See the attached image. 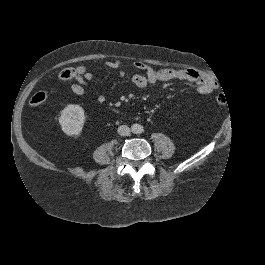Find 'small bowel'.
<instances>
[{
    "instance_id": "obj_1",
    "label": "small bowel",
    "mask_w": 265,
    "mask_h": 265,
    "mask_svg": "<svg viewBox=\"0 0 265 265\" xmlns=\"http://www.w3.org/2000/svg\"><path fill=\"white\" fill-rule=\"evenodd\" d=\"M105 66L108 69L118 70L119 77L122 78L125 76V64L121 60L107 61ZM131 66L141 71L140 73L133 74L131 78L132 83L138 88H144L159 81L172 80L195 83L197 85V91L200 94H210L218 87L214 79L194 69H153L142 62H132ZM77 68L78 73L73 77L74 83L71 84L70 90L77 96H83L86 94V88L93 79V74L84 66ZM96 99L99 103L105 102V96L103 94H98Z\"/></svg>"
}]
</instances>
